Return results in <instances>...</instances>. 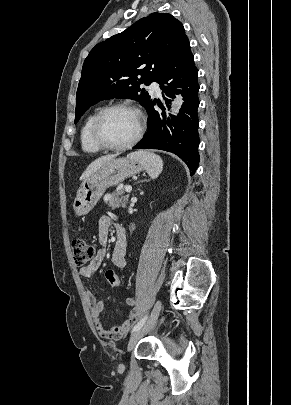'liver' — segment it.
<instances>
[{"label":"liver","mask_w":291,"mask_h":405,"mask_svg":"<svg viewBox=\"0 0 291 405\" xmlns=\"http://www.w3.org/2000/svg\"><path fill=\"white\" fill-rule=\"evenodd\" d=\"M116 155H108V156H103L101 158L96 159L93 161L87 169L84 171V173L81 175L80 180H85L95 172H97L103 164L106 162L112 160L115 158Z\"/></svg>","instance_id":"obj_1"}]
</instances>
